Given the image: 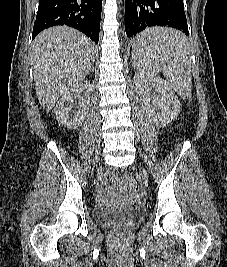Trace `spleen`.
Here are the masks:
<instances>
[{
  "label": "spleen",
  "instance_id": "obj_1",
  "mask_svg": "<svg viewBox=\"0 0 227 267\" xmlns=\"http://www.w3.org/2000/svg\"><path fill=\"white\" fill-rule=\"evenodd\" d=\"M130 46L132 63L144 77H162L182 97L191 93V53L187 38L169 28L146 29ZM162 71V72H159Z\"/></svg>",
  "mask_w": 227,
  "mask_h": 267
}]
</instances>
